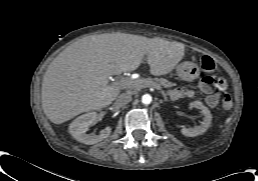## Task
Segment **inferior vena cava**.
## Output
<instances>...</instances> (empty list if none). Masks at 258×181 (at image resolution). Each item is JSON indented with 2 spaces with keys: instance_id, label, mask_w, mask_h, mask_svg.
<instances>
[{
  "instance_id": "inferior-vena-cava-1",
  "label": "inferior vena cava",
  "mask_w": 258,
  "mask_h": 181,
  "mask_svg": "<svg viewBox=\"0 0 258 181\" xmlns=\"http://www.w3.org/2000/svg\"><path fill=\"white\" fill-rule=\"evenodd\" d=\"M132 100V96L130 93L126 92V93H121L117 100H116V103L119 105V106H124L126 104H128L130 101Z\"/></svg>"
}]
</instances>
